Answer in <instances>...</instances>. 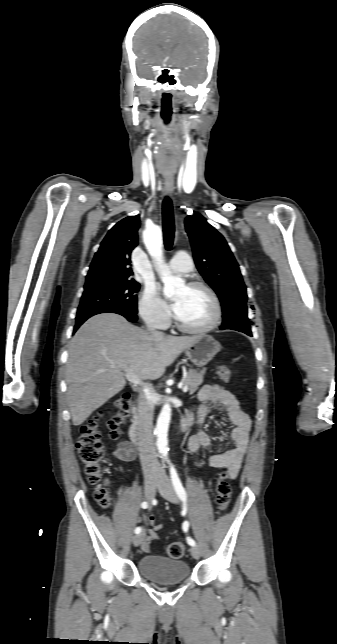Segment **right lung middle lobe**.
Listing matches in <instances>:
<instances>
[{"label":"right lung middle lobe","instance_id":"1","mask_svg":"<svg viewBox=\"0 0 337 644\" xmlns=\"http://www.w3.org/2000/svg\"><path fill=\"white\" fill-rule=\"evenodd\" d=\"M140 285L134 280L100 279L86 282L76 319L106 310H126L137 313Z\"/></svg>","mask_w":337,"mask_h":644}]
</instances>
